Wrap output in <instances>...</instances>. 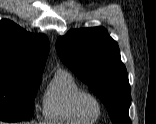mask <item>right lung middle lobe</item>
Listing matches in <instances>:
<instances>
[{
	"label": "right lung middle lobe",
	"instance_id": "obj_1",
	"mask_svg": "<svg viewBox=\"0 0 156 124\" xmlns=\"http://www.w3.org/2000/svg\"><path fill=\"white\" fill-rule=\"evenodd\" d=\"M41 80V74L0 69V121L17 122L30 118Z\"/></svg>",
	"mask_w": 156,
	"mask_h": 124
}]
</instances>
